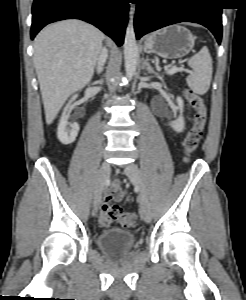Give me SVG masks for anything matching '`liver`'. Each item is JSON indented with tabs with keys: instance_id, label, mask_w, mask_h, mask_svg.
Returning a JSON list of instances; mask_svg holds the SVG:
<instances>
[{
	"instance_id": "1",
	"label": "liver",
	"mask_w": 246,
	"mask_h": 300,
	"mask_svg": "<svg viewBox=\"0 0 246 300\" xmlns=\"http://www.w3.org/2000/svg\"><path fill=\"white\" fill-rule=\"evenodd\" d=\"M103 38L99 29L76 19L48 25L36 36L34 66L47 124L72 93L90 82Z\"/></svg>"
}]
</instances>
